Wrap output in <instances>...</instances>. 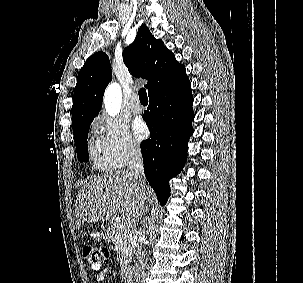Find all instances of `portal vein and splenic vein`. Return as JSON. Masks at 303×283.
<instances>
[{"label": "portal vein and splenic vein", "mask_w": 303, "mask_h": 283, "mask_svg": "<svg viewBox=\"0 0 303 283\" xmlns=\"http://www.w3.org/2000/svg\"><path fill=\"white\" fill-rule=\"evenodd\" d=\"M122 225H123V226H129V224H127V223H125V222L122 223Z\"/></svg>", "instance_id": "18ae733b"}]
</instances>
